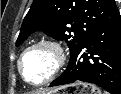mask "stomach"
I'll return each mask as SVG.
<instances>
[{
	"label": "stomach",
	"mask_w": 121,
	"mask_h": 94,
	"mask_svg": "<svg viewBox=\"0 0 121 94\" xmlns=\"http://www.w3.org/2000/svg\"><path fill=\"white\" fill-rule=\"evenodd\" d=\"M46 94H101V91L91 84L74 83L72 85L60 87Z\"/></svg>",
	"instance_id": "stomach-1"
}]
</instances>
